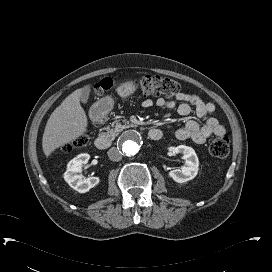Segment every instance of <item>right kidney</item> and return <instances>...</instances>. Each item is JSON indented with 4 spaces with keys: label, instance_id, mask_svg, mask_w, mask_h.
Masks as SVG:
<instances>
[{
    "label": "right kidney",
    "instance_id": "right-kidney-1",
    "mask_svg": "<svg viewBox=\"0 0 272 272\" xmlns=\"http://www.w3.org/2000/svg\"><path fill=\"white\" fill-rule=\"evenodd\" d=\"M89 159L90 155L87 153L76 156L68 163L67 170L64 173V180L71 188L78 191L79 193L88 192L100 181L99 177L95 176L82 179V176L78 174L82 171V166L86 164Z\"/></svg>",
    "mask_w": 272,
    "mask_h": 272
}]
</instances>
